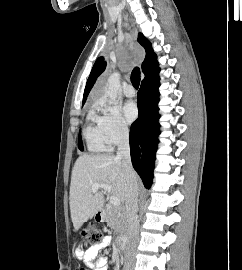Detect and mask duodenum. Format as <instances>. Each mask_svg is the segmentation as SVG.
<instances>
[{"instance_id":"duodenum-1","label":"duodenum","mask_w":242,"mask_h":270,"mask_svg":"<svg viewBox=\"0 0 242 270\" xmlns=\"http://www.w3.org/2000/svg\"><path fill=\"white\" fill-rule=\"evenodd\" d=\"M103 214H104L103 211H100V212L97 213V219H98V221H100V219L103 216ZM126 244H127V238H126V236L121 235L119 237V239H118V243H117L118 247L120 249H125Z\"/></svg>"}]
</instances>
